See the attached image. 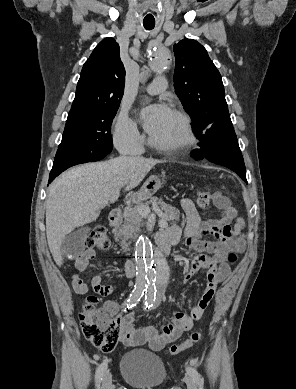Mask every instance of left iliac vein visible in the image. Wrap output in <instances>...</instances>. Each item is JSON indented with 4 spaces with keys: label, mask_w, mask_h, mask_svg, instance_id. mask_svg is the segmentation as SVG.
Listing matches in <instances>:
<instances>
[{
    "label": "left iliac vein",
    "mask_w": 296,
    "mask_h": 389,
    "mask_svg": "<svg viewBox=\"0 0 296 389\" xmlns=\"http://www.w3.org/2000/svg\"><path fill=\"white\" fill-rule=\"evenodd\" d=\"M185 383L188 389H197L196 383L190 376H185Z\"/></svg>",
    "instance_id": "obj_1"
}]
</instances>
